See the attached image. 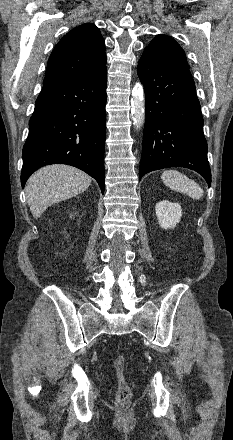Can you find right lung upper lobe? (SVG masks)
Here are the masks:
<instances>
[{"label": "right lung upper lobe", "instance_id": "cb5924a9", "mask_svg": "<svg viewBox=\"0 0 233 440\" xmlns=\"http://www.w3.org/2000/svg\"><path fill=\"white\" fill-rule=\"evenodd\" d=\"M106 69L105 42L92 23L67 33L48 60L43 88L73 84L97 76Z\"/></svg>", "mask_w": 233, "mask_h": 440}]
</instances>
